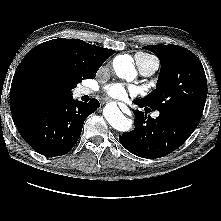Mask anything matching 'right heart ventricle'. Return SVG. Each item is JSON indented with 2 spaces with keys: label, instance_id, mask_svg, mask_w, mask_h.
Returning <instances> with one entry per match:
<instances>
[{
  "label": "right heart ventricle",
  "instance_id": "1",
  "mask_svg": "<svg viewBox=\"0 0 221 221\" xmlns=\"http://www.w3.org/2000/svg\"><path fill=\"white\" fill-rule=\"evenodd\" d=\"M137 56H139L140 58L144 59V60H149V59H153L154 57L149 55V54H145V53H138Z\"/></svg>",
  "mask_w": 221,
  "mask_h": 221
}]
</instances>
